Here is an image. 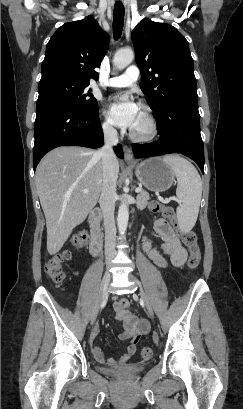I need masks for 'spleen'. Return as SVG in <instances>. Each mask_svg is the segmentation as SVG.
<instances>
[{"label": "spleen", "mask_w": 243, "mask_h": 409, "mask_svg": "<svg viewBox=\"0 0 243 409\" xmlns=\"http://www.w3.org/2000/svg\"><path fill=\"white\" fill-rule=\"evenodd\" d=\"M163 161L168 164L177 178L176 196L180 202L176 214L179 228L189 232L195 225L202 196V182L196 168L179 155H166Z\"/></svg>", "instance_id": "spleen-1"}]
</instances>
